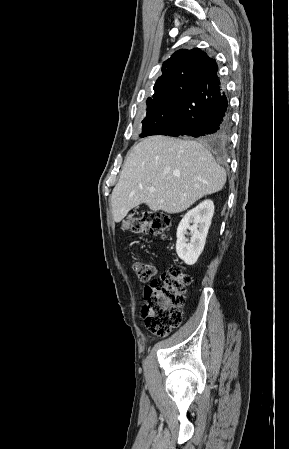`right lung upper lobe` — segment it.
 <instances>
[{"label": "right lung upper lobe", "instance_id": "right-lung-upper-lobe-1", "mask_svg": "<svg viewBox=\"0 0 289 449\" xmlns=\"http://www.w3.org/2000/svg\"><path fill=\"white\" fill-rule=\"evenodd\" d=\"M217 70L216 62L201 49H180L163 63L162 76L153 87V96L164 92L171 94L177 81L210 79Z\"/></svg>", "mask_w": 289, "mask_h": 449}]
</instances>
